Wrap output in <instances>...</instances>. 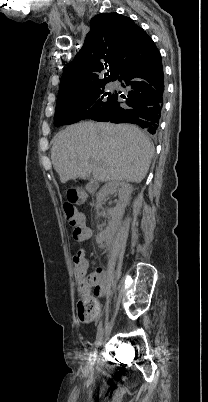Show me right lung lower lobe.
Segmentation results:
<instances>
[{"label":"right lung lower lobe","instance_id":"1","mask_svg":"<svg viewBox=\"0 0 208 402\" xmlns=\"http://www.w3.org/2000/svg\"><path fill=\"white\" fill-rule=\"evenodd\" d=\"M116 79L130 88L128 95L116 93L112 108L96 113L91 119L132 123L155 134L164 104V72L160 52L147 33L126 57Z\"/></svg>","mask_w":208,"mask_h":402}]
</instances>
